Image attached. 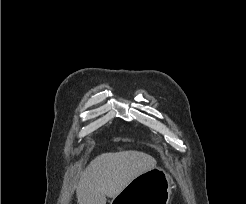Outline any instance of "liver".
<instances>
[{"instance_id": "6515ba94", "label": "liver", "mask_w": 246, "mask_h": 204, "mask_svg": "<svg viewBox=\"0 0 246 204\" xmlns=\"http://www.w3.org/2000/svg\"><path fill=\"white\" fill-rule=\"evenodd\" d=\"M156 160L140 151L103 153L82 172L76 190L78 204H106L134 178L156 167Z\"/></svg>"}]
</instances>
